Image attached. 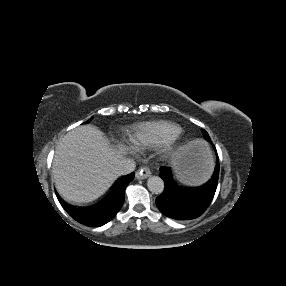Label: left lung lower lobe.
<instances>
[{
    "label": "left lung lower lobe",
    "mask_w": 286,
    "mask_h": 286,
    "mask_svg": "<svg viewBox=\"0 0 286 286\" xmlns=\"http://www.w3.org/2000/svg\"><path fill=\"white\" fill-rule=\"evenodd\" d=\"M213 177L201 187H183L174 180L169 167H161L159 176L164 180L163 193L156 198L158 209L166 216L177 220L195 219L210 205L218 183L219 158Z\"/></svg>",
    "instance_id": "obj_1"
}]
</instances>
